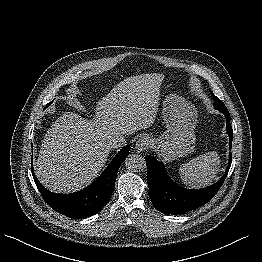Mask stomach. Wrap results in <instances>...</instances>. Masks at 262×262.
<instances>
[{"label":"stomach","mask_w":262,"mask_h":262,"mask_svg":"<svg viewBox=\"0 0 262 262\" xmlns=\"http://www.w3.org/2000/svg\"><path fill=\"white\" fill-rule=\"evenodd\" d=\"M162 104L166 131L156 140V143L162 158L170 162L194 150L197 110L193 104L173 93L166 95Z\"/></svg>","instance_id":"0dacf381"}]
</instances>
